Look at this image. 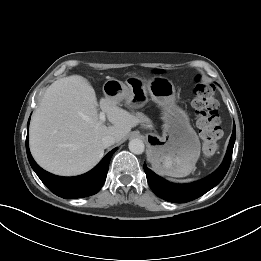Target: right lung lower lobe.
<instances>
[{"label": "right lung lower lobe", "mask_w": 261, "mask_h": 261, "mask_svg": "<svg viewBox=\"0 0 261 261\" xmlns=\"http://www.w3.org/2000/svg\"><path fill=\"white\" fill-rule=\"evenodd\" d=\"M116 150L117 148L110 151L95 168L86 174L60 177L46 172L37 165L29 151L28 136L26 138V151L31 167L51 192L65 199L82 198L97 193L106 180L109 162Z\"/></svg>", "instance_id": "1"}]
</instances>
